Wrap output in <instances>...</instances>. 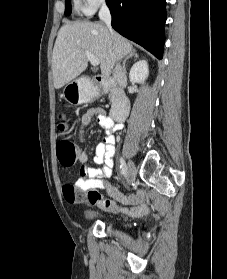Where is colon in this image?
<instances>
[{"instance_id":"obj_1","label":"colon","mask_w":227,"mask_h":279,"mask_svg":"<svg viewBox=\"0 0 227 279\" xmlns=\"http://www.w3.org/2000/svg\"><path fill=\"white\" fill-rule=\"evenodd\" d=\"M57 119V132L59 134L57 142V157L62 166L70 167L76 162L79 149L76 144H74L65 136V122L67 119V113L65 111H60L58 113ZM99 196L100 194L94 191L89 193L88 198L93 199L98 198Z\"/></svg>"}]
</instances>
